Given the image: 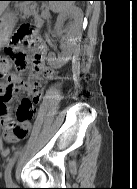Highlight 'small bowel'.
<instances>
[{
  "label": "small bowel",
  "mask_w": 137,
  "mask_h": 189,
  "mask_svg": "<svg viewBox=\"0 0 137 189\" xmlns=\"http://www.w3.org/2000/svg\"><path fill=\"white\" fill-rule=\"evenodd\" d=\"M37 72L40 76L34 80H26L22 73H14L6 84L0 85V127L8 143H16L26 138L35 115L34 111L31 116L26 115L19 118L16 113L15 117L10 109V103L18 95L27 94L29 98H24L21 102L28 100L35 109V105L40 100L45 80L54 77V71L44 60H40L37 64Z\"/></svg>",
  "instance_id": "obj_1"
}]
</instances>
